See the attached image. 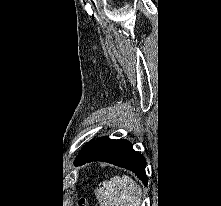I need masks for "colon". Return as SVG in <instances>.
<instances>
[{
    "label": "colon",
    "mask_w": 221,
    "mask_h": 206,
    "mask_svg": "<svg viewBox=\"0 0 221 206\" xmlns=\"http://www.w3.org/2000/svg\"><path fill=\"white\" fill-rule=\"evenodd\" d=\"M85 203H86V202H85L84 199H81V200L79 201V205H80V206H85Z\"/></svg>",
    "instance_id": "1"
}]
</instances>
